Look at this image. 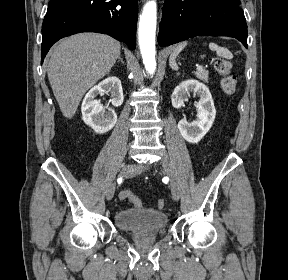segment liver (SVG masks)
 <instances>
[{"mask_svg":"<svg viewBox=\"0 0 288 280\" xmlns=\"http://www.w3.org/2000/svg\"><path fill=\"white\" fill-rule=\"evenodd\" d=\"M120 48L108 35L80 33L52 49L48 79L64 117L71 119L84 94L109 73Z\"/></svg>","mask_w":288,"mask_h":280,"instance_id":"6515ba94","label":"liver"}]
</instances>
